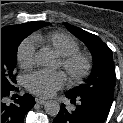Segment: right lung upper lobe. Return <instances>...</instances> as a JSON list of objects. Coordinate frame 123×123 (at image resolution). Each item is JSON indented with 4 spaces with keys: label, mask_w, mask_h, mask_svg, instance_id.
Wrapping results in <instances>:
<instances>
[{
    "label": "right lung upper lobe",
    "mask_w": 123,
    "mask_h": 123,
    "mask_svg": "<svg viewBox=\"0 0 123 123\" xmlns=\"http://www.w3.org/2000/svg\"><path fill=\"white\" fill-rule=\"evenodd\" d=\"M14 26H15V25H10V26H6V27L1 28V34L8 32V31H9L11 28H13Z\"/></svg>",
    "instance_id": "right-lung-upper-lobe-1"
}]
</instances>
